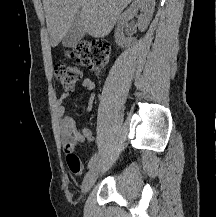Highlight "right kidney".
<instances>
[{"label": "right kidney", "instance_id": "ca27d5eb", "mask_svg": "<svg viewBox=\"0 0 216 217\" xmlns=\"http://www.w3.org/2000/svg\"><path fill=\"white\" fill-rule=\"evenodd\" d=\"M154 8L155 0H135L119 18L117 30L114 35L116 44L124 48L134 40L121 35L120 30L126 26L128 20L137 16L138 10L141 11V14L137 16V26L141 32L145 31L152 19Z\"/></svg>", "mask_w": 216, "mask_h": 217}]
</instances>
